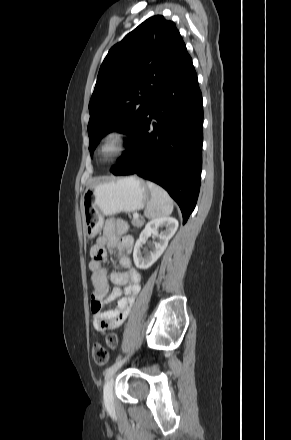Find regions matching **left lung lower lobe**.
I'll return each instance as SVG.
<instances>
[{
  "instance_id": "left-lung-lower-lobe-1",
  "label": "left lung lower lobe",
  "mask_w": 291,
  "mask_h": 440,
  "mask_svg": "<svg viewBox=\"0 0 291 440\" xmlns=\"http://www.w3.org/2000/svg\"><path fill=\"white\" fill-rule=\"evenodd\" d=\"M203 105L187 53L150 100L114 175L151 180L178 203L185 223L197 202L202 168Z\"/></svg>"
}]
</instances>
